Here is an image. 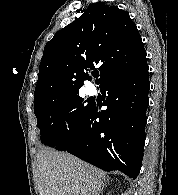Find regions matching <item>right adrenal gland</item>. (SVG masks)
Segmentation results:
<instances>
[{
    "instance_id": "right-adrenal-gland-1",
    "label": "right adrenal gland",
    "mask_w": 178,
    "mask_h": 195,
    "mask_svg": "<svg viewBox=\"0 0 178 195\" xmlns=\"http://www.w3.org/2000/svg\"><path fill=\"white\" fill-rule=\"evenodd\" d=\"M111 181L107 179V184H109ZM107 184L102 185V187L99 189V193H102L104 188L107 186Z\"/></svg>"
}]
</instances>
